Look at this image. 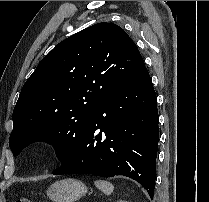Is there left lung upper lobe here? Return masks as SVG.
Listing matches in <instances>:
<instances>
[{
	"label": "left lung upper lobe",
	"instance_id": "1",
	"mask_svg": "<svg viewBox=\"0 0 209 202\" xmlns=\"http://www.w3.org/2000/svg\"><path fill=\"white\" fill-rule=\"evenodd\" d=\"M144 67L136 44L113 23L92 25L60 42L21 90L9 138L13 155L43 141L63 164L96 105Z\"/></svg>",
	"mask_w": 209,
	"mask_h": 202
}]
</instances>
